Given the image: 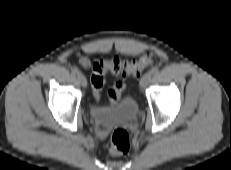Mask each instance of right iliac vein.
I'll return each mask as SVG.
<instances>
[{
  "label": "right iliac vein",
  "instance_id": "obj_1",
  "mask_svg": "<svg viewBox=\"0 0 231 170\" xmlns=\"http://www.w3.org/2000/svg\"><path fill=\"white\" fill-rule=\"evenodd\" d=\"M77 80L82 87H84V88L87 87V80L83 74L79 73L77 75Z\"/></svg>",
  "mask_w": 231,
  "mask_h": 170
}]
</instances>
